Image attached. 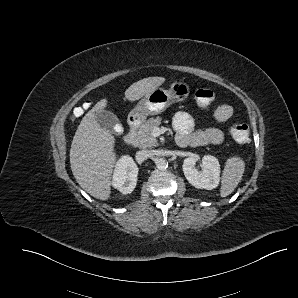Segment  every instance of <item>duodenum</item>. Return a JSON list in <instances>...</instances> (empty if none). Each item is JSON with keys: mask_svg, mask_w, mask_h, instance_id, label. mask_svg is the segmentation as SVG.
Listing matches in <instances>:
<instances>
[{"mask_svg": "<svg viewBox=\"0 0 298 298\" xmlns=\"http://www.w3.org/2000/svg\"><path fill=\"white\" fill-rule=\"evenodd\" d=\"M139 120L136 117H131L129 120V129L125 133L123 140L128 145H133L136 142V130ZM176 143L180 147H194L202 144V139L193 134L178 133L176 135Z\"/></svg>", "mask_w": 298, "mask_h": 298, "instance_id": "1", "label": "duodenum"}]
</instances>
